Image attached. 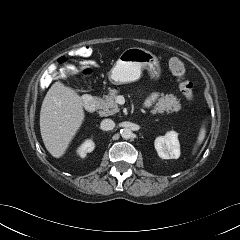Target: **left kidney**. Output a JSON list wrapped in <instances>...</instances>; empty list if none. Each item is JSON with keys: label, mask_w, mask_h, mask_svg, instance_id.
Listing matches in <instances>:
<instances>
[{"label": "left kidney", "mask_w": 240, "mask_h": 240, "mask_svg": "<svg viewBox=\"0 0 240 240\" xmlns=\"http://www.w3.org/2000/svg\"><path fill=\"white\" fill-rule=\"evenodd\" d=\"M154 145L162 159H177L180 156V144L178 134L175 131H169L165 136L157 137Z\"/></svg>", "instance_id": "5707ae66"}]
</instances>
